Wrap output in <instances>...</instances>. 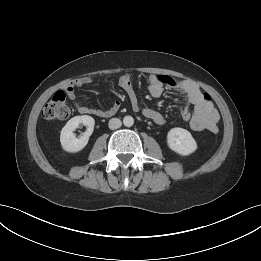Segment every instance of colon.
Listing matches in <instances>:
<instances>
[{
  "label": "colon",
  "instance_id": "colon-1",
  "mask_svg": "<svg viewBox=\"0 0 261 261\" xmlns=\"http://www.w3.org/2000/svg\"><path fill=\"white\" fill-rule=\"evenodd\" d=\"M42 115L49 120H63L68 118L70 109L66 103L65 94L61 91L57 92L43 108ZM183 118L187 121L189 115L184 114Z\"/></svg>",
  "mask_w": 261,
  "mask_h": 261
}]
</instances>
